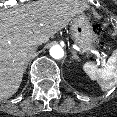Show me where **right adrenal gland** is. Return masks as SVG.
Returning a JSON list of instances; mask_svg holds the SVG:
<instances>
[{
  "instance_id": "2a0ac1e0",
  "label": "right adrenal gland",
  "mask_w": 117,
  "mask_h": 117,
  "mask_svg": "<svg viewBox=\"0 0 117 117\" xmlns=\"http://www.w3.org/2000/svg\"><path fill=\"white\" fill-rule=\"evenodd\" d=\"M29 60H30V57L28 56V57H27V60H26V62H25V65H24V71H25L26 68H27V65H28Z\"/></svg>"
}]
</instances>
